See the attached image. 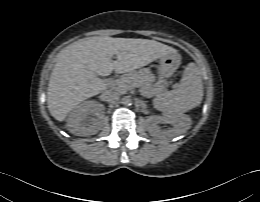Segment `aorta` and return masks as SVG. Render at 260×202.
Masks as SVG:
<instances>
[{"label": "aorta", "instance_id": "1", "mask_svg": "<svg viewBox=\"0 0 260 202\" xmlns=\"http://www.w3.org/2000/svg\"><path fill=\"white\" fill-rule=\"evenodd\" d=\"M121 102L124 106H130L132 104V98L130 96H124Z\"/></svg>", "mask_w": 260, "mask_h": 202}]
</instances>
